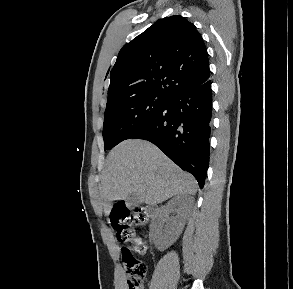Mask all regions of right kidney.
Returning <instances> with one entry per match:
<instances>
[{"instance_id": "1", "label": "right kidney", "mask_w": 293, "mask_h": 289, "mask_svg": "<svg viewBox=\"0 0 293 289\" xmlns=\"http://www.w3.org/2000/svg\"><path fill=\"white\" fill-rule=\"evenodd\" d=\"M175 211L177 214L173 218L168 229L164 231V239L166 244H172L181 234L185 222L186 214L183 208V200L181 196H175L165 206H162L158 213V221L161 222L169 213Z\"/></svg>"}]
</instances>
